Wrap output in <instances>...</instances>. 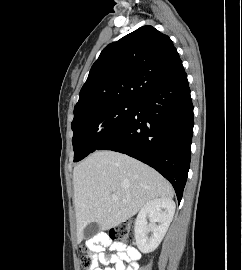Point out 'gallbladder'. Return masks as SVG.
<instances>
[{"label":"gallbladder","instance_id":"obj_1","mask_svg":"<svg viewBox=\"0 0 242 270\" xmlns=\"http://www.w3.org/2000/svg\"><path fill=\"white\" fill-rule=\"evenodd\" d=\"M100 229L99 225L95 222L89 223L86 228L84 229L85 237H91L93 234L98 232Z\"/></svg>","mask_w":242,"mask_h":270}]
</instances>
